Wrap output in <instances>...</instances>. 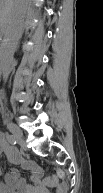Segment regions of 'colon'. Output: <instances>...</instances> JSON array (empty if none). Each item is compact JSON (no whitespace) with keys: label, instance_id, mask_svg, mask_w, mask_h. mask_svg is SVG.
Instances as JSON below:
<instances>
[{"label":"colon","instance_id":"5ec220e1","mask_svg":"<svg viewBox=\"0 0 103 193\" xmlns=\"http://www.w3.org/2000/svg\"><path fill=\"white\" fill-rule=\"evenodd\" d=\"M59 175L62 176L63 175L62 172H59Z\"/></svg>","mask_w":103,"mask_h":193}]
</instances>
